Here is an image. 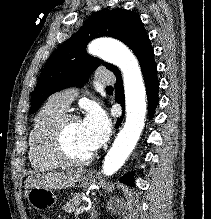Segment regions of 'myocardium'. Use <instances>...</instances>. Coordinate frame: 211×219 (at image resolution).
<instances>
[{
	"instance_id": "obj_1",
	"label": "myocardium",
	"mask_w": 211,
	"mask_h": 219,
	"mask_svg": "<svg viewBox=\"0 0 211 219\" xmlns=\"http://www.w3.org/2000/svg\"><path fill=\"white\" fill-rule=\"evenodd\" d=\"M72 121H79V117L75 114L63 113L53 122L47 136L48 147L52 155L63 164L84 166L92 162L95 153L92 152L86 157L77 158L68 151L65 143V135Z\"/></svg>"
}]
</instances>
